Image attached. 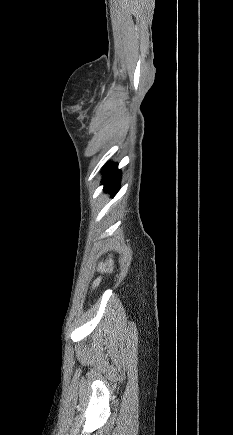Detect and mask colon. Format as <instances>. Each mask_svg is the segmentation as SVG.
Returning a JSON list of instances; mask_svg holds the SVG:
<instances>
[{"mask_svg": "<svg viewBox=\"0 0 233 435\" xmlns=\"http://www.w3.org/2000/svg\"><path fill=\"white\" fill-rule=\"evenodd\" d=\"M111 267L110 263H99L97 266L98 271H105Z\"/></svg>", "mask_w": 233, "mask_h": 435, "instance_id": "5ec220e1", "label": "colon"}]
</instances>
